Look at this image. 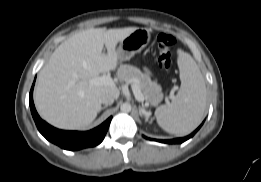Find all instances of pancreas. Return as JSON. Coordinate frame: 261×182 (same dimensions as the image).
<instances>
[{"instance_id":"obj_1","label":"pancreas","mask_w":261,"mask_h":182,"mask_svg":"<svg viewBox=\"0 0 261 182\" xmlns=\"http://www.w3.org/2000/svg\"><path fill=\"white\" fill-rule=\"evenodd\" d=\"M118 77L126 84L133 85L136 81L142 91L146 102L152 106H157L162 100V88L150 76L141 72L135 66L122 65L118 70Z\"/></svg>"}]
</instances>
